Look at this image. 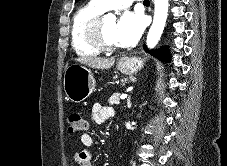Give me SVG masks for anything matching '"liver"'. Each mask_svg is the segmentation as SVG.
<instances>
[{
  "instance_id": "6515ba94",
  "label": "liver",
  "mask_w": 227,
  "mask_h": 166,
  "mask_svg": "<svg viewBox=\"0 0 227 166\" xmlns=\"http://www.w3.org/2000/svg\"><path fill=\"white\" fill-rule=\"evenodd\" d=\"M75 61L95 69H109L115 63V58L78 57Z\"/></svg>"
}]
</instances>
